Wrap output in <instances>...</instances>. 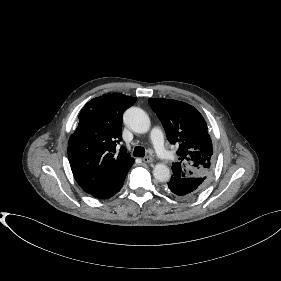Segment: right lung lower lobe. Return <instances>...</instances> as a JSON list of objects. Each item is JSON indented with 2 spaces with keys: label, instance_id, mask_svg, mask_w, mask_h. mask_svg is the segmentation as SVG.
Instances as JSON below:
<instances>
[{
  "label": "right lung lower lobe",
  "instance_id": "1",
  "mask_svg": "<svg viewBox=\"0 0 281 281\" xmlns=\"http://www.w3.org/2000/svg\"><path fill=\"white\" fill-rule=\"evenodd\" d=\"M122 185H123V183L114 192H112L110 195H108L105 198H109V197L113 196L114 194H116L121 189Z\"/></svg>",
  "mask_w": 281,
  "mask_h": 281
}]
</instances>
